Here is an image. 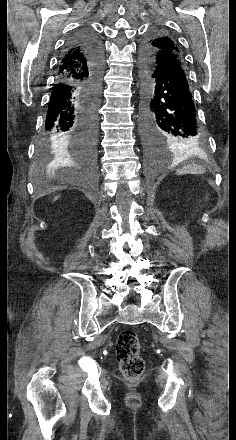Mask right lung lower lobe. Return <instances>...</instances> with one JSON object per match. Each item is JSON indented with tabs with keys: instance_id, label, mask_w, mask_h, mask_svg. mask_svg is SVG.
Segmentation results:
<instances>
[{
	"instance_id": "right-lung-lower-lobe-1",
	"label": "right lung lower lobe",
	"mask_w": 236,
	"mask_h": 440,
	"mask_svg": "<svg viewBox=\"0 0 236 440\" xmlns=\"http://www.w3.org/2000/svg\"><path fill=\"white\" fill-rule=\"evenodd\" d=\"M78 45L89 62L86 82L58 81L52 88L47 110L44 140L53 139L57 145L70 143L77 147L81 160L91 164L97 144V106L87 93L88 86L101 91L104 69V50L99 37L91 30H82L68 43Z\"/></svg>"
}]
</instances>
